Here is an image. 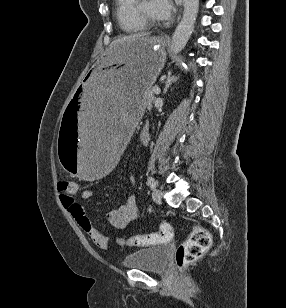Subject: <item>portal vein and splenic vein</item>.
I'll return each instance as SVG.
<instances>
[{"label":"portal vein and splenic vein","mask_w":286,"mask_h":308,"mask_svg":"<svg viewBox=\"0 0 286 308\" xmlns=\"http://www.w3.org/2000/svg\"><path fill=\"white\" fill-rule=\"evenodd\" d=\"M161 92V89L159 88V87H156L155 89H154V93L155 94H159Z\"/></svg>","instance_id":"18ae733b"}]
</instances>
